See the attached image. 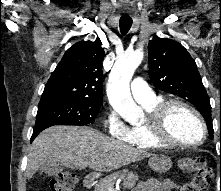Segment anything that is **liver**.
Here are the masks:
<instances>
[{"mask_svg": "<svg viewBox=\"0 0 221 191\" xmlns=\"http://www.w3.org/2000/svg\"><path fill=\"white\" fill-rule=\"evenodd\" d=\"M151 155L90 127L56 125L44 130L33 141L28 154L26 176L32 178L47 160L60 161L69 168L89 167L104 172Z\"/></svg>", "mask_w": 221, "mask_h": 191, "instance_id": "6515ba94", "label": "liver"}]
</instances>
